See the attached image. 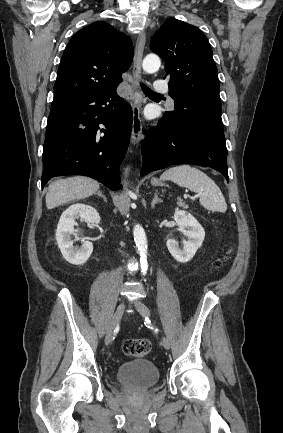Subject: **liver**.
<instances>
[{"instance_id":"6515ba94","label":"liver","mask_w":283,"mask_h":433,"mask_svg":"<svg viewBox=\"0 0 283 433\" xmlns=\"http://www.w3.org/2000/svg\"><path fill=\"white\" fill-rule=\"evenodd\" d=\"M100 188L99 182L88 178V176H70V178H60L51 182L48 192H46L47 208H54L69 200H78L91 196Z\"/></svg>"}]
</instances>
